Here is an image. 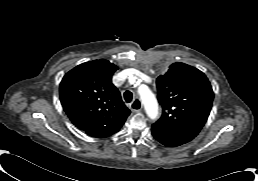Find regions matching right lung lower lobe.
<instances>
[{"mask_svg": "<svg viewBox=\"0 0 258 181\" xmlns=\"http://www.w3.org/2000/svg\"><path fill=\"white\" fill-rule=\"evenodd\" d=\"M120 128H121V126H114L107 131H103L101 133H95V134L90 135V136H93V137H107V136H110V135L116 133Z\"/></svg>", "mask_w": 258, "mask_h": 181, "instance_id": "98d812e1", "label": "right lung lower lobe"}]
</instances>
